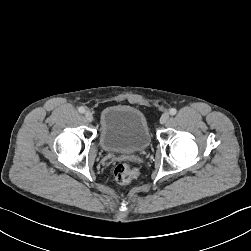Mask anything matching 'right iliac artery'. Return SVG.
I'll use <instances>...</instances> for the list:
<instances>
[{
    "mask_svg": "<svg viewBox=\"0 0 251 251\" xmlns=\"http://www.w3.org/2000/svg\"><path fill=\"white\" fill-rule=\"evenodd\" d=\"M78 111H79L80 113H84V112H85V108L81 106V107L78 108Z\"/></svg>",
    "mask_w": 251,
    "mask_h": 251,
    "instance_id": "1",
    "label": "right iliac artery"
}]
</instances>
